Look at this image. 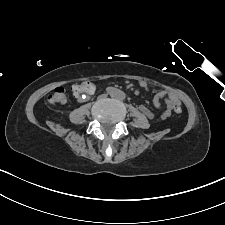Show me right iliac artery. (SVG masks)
<instances>
[{"mask_svg":"<svg viewBox=\"0 0 225 225\" xmlns=\"http://www.w3.org/2000/svg\"><path fill=\"white\" fill-rule=\"evenodd\" d=\"M106 90H107V92H111L112 89L109 87Z\"/></svg>","mask_w":225,"mask_h":225,"instance_id":"82829eb1","label":"right iliac artery"}]
</instances>
